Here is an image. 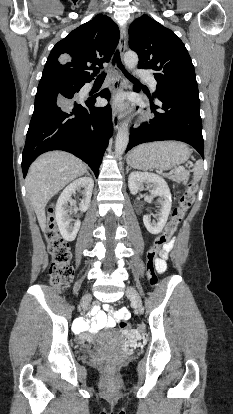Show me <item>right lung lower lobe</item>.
Here are the masks:
<instances>
[{
	"instance_id": "obj_1",
	"label": "right lung lower lobe",
	"mask_w": 233,
	"mask_h": 414,
	"mask_svg": "<svg viewBox=\"0 0 233 414\" xmlns=\"http://www.w3.org/2000/svg\"><path fill=\"white\" fill-rule=\"evenodd\" d=\"M79 92L41 90L35 96V108L27 132L22 156L24 177L30 164L42 153L64 150L86 162L98 177L99 166L108 141L113 133L112 111L94 107L96 97L110 98L108 89L87 99L76 102Z\"/></svg>"
}]
</instances>
